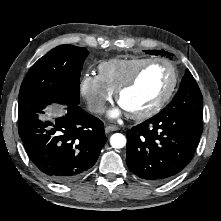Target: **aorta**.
I'll use <instances>...</instances> for the list:
<instances>
[{"label": "aorta", "instance_id": "aorta-1", "mask_svg": "<svg viewBox=\"0 0 221 221\" xmlns=\"http://www.w3.org/2000/svg\"><path fill=\"white\" fill-rule=\"evenodd\" d=\"M110 144L115 149L123 148L126 145V138L121 133H115L110 138Z\"/></svg>", "mask_w": 221, "mask_h": 221}]
</instances>
